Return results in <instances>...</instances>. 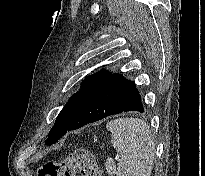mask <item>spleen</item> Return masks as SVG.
Masks as SVG:
<instances>
[{"label":"spleen","mask_w":205,"mask_h":176,"mask_svg":"<svg viewBox=\"0 0 205 176\" xmlns=\"http://www.w3.org/2000/svg\"><path fill=\"white\" fill-rule=\"evenodd\" d=\"M112 145L121 155L117 176H151L155 142L148 124L142 119L120 118L106 125Z\"/></svg>","instance_id":"spleen-1"}]
</instances>
